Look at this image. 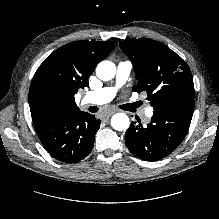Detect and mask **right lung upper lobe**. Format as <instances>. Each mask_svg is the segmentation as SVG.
I'll list each match as a JSON object with an SVG mask.
<instances>
[{"instance_id": "right-lung-upper-lobe-1", "label": "right lung upper lobe", "mask_w": 219, "mask_h": 219, "mask_svg": "<svg viewBox=\"0 0 219 219\" xmlns=\"http://www.w3.org/2000/svg\"><path fill=\"white\" fill-rule=\"evenodd\" d=\"M112 41H77L50 54L37 69L29 90L32 119L79 111L74 96L88 87L96 65L114 49Z\"/></svg>"}]
</instances>
